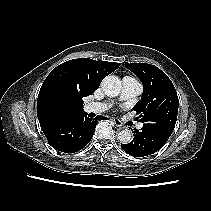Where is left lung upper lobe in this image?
<instances>
[{
  "instance_id": "5c2ea615",
  "label": "left lung upper lobe",
  "mask_w": 211,
  "mask_h": 211,
  "mask_svg": "<svg viewBox=\"0 0 211 211\" xmlns=\"http://www.w3.org/2000/svg\"><path fill=\"white\" fill-rule=\"evenodd\" d=\"M143 83L141 100L133 107L143 128L168 140L172 134L178 113L179 100L168 76L154 65L125 63Z\"/></svg>"
}]
</instances>
